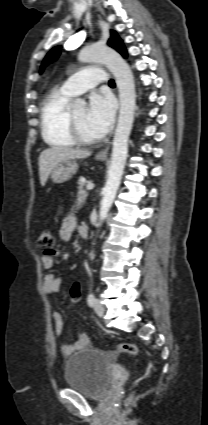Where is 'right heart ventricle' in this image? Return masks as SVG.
<instances>
[{"instance_id": "1", "label": "right heart ventricle", "mask_w": 208, "mask_h": 425, "mask_svg": "<svg viewBox=\"0 0 208 425\" xmlns=\"http://www.w3.org/2000/svg\"><path fill=\"white\" fill-rule=\"evenodd\" d=\"M72 95L62 88L51 91L41 105V134L44 141L54 148L75 146L68 123L69 102Z\"/></svg>"}]
</instances>
